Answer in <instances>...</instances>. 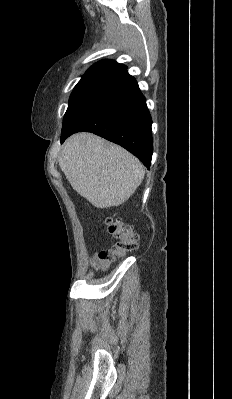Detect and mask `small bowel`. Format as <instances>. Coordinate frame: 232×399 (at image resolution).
<instances>
[{"instance_id": "small-bowel-1", "label": "small bowel", "mask_w": 232, "mask_h": 399, "mask_svg": "<svg viewBox=\"0 0 232 399\" xmlns=\"http://www.w3.org/2000/svg\"><path fill=\"white\" fill-rule=\"evenodd\" d=\"M92 264V262H89V265H91Z\"/></svg>"}]
</instances>
